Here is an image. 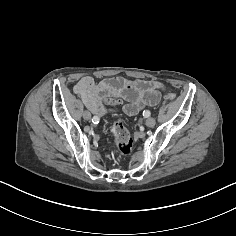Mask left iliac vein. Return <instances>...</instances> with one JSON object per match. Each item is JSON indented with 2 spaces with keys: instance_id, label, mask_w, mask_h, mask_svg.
Returning a JSON list of instances; mask_svg holds the SVG:
<instances>
[{
  "instance_id": "left-iliac-vein-1",
  "label": "left iliac vein",
  "mask_w": 236,
  "mask_h": 236,
  "mask_svg": "<svg viewBox=\"0 0 236 236\" xmlns=\"http://www.w3.org/2000/svg\"><path fill=\"white\" fill-rule=\"evenodd\" d=\"M146 126L148 127H153L156 124V120L152 117H149L146 122H145Z\"/></svg>"
}]
</instances>
